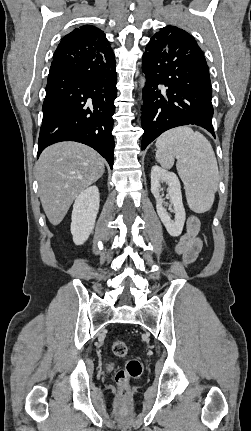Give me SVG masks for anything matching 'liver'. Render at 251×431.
Returning <instances> with one entry per match:
<instances>
[{
  "instance_id": "liver-1",
  "label": "liver",
  "mask_w": 251,
  "mask_h": 431,
  "mask_svg": "<svg viewBox=\"0 0 251 431\" xmlns=\"http://www.w3.org/2000/svg\"><path fill=\"white\" fill-rule=\"evenodd\" d=\"M104 170V159L81 143H57L42 152L37 163L39 196L52 225L64 219L73 201Z\"/></svg>"
}]
</instances>
